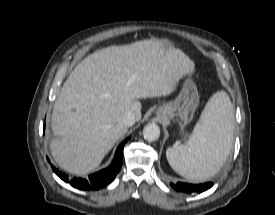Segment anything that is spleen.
<instances>
[{
	"instance_id": "3e777b00",
	"label": "spleen",
	"mask_w": 275,
	"mask_h": 215,
	"mask_svg": "<svg viewBox=\"0 0 275 215\" xmlns=\"http://www.w3.org/2000/svg\"><path fill=\"white\" fill-rule=\"evenodd\" d=\"M233 106L229 96L216 92L209 99L187 144H176L166 151L175 172L194 180L205 181L225 163L234 134Z\"/></svg>"
}]
</instances>
